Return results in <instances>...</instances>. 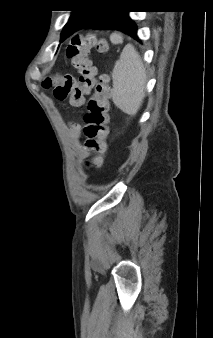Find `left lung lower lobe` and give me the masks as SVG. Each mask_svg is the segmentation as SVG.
Segmentation results:
<instances>
[{"instance_id": "0a47b994", "label": "left lung lower lobe", "mask_w": 213, "mask_h": 338, "mask_svg": "<svg viewBox=\"0 0 213 338\" xmlns=\"http://www.w3.org/2000/svg\"><path fill=\"white\" fill-rule=\"evenodd\" d=\"M126 9H96L85 10L68 28L66 38L74 32L85 29H117L134 39L137 37V27L128 16Z\"/></svg>"}]
</instances>
